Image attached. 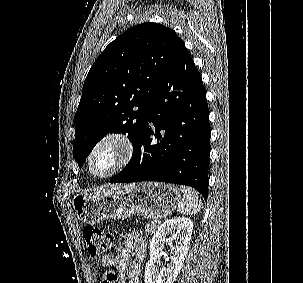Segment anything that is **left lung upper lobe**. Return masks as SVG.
I'll return each mask as SVG.
<instances>
[{
  "mask_svg": "<svg viewBox=\"0 0 303 283\" xmlns=\"http://www.w3.org/2000/svg\"><path fill=\"white\" fill-rule=\"evenodd\" d=\"M184 48L173 29L151 22L128 29L105 48L85 79L74 118L80 168L108 133H128L135 149L150 101Z\"/></svg>",
  "mask_w": 303,
  "mask_h": 283,
  "instance_id": "5c2ea615",
  "label": "left lung upper lobe"
}]
</instances>
